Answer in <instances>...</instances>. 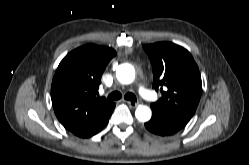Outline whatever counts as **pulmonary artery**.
<instances>
[{
    "label": "pulmonary artery",
    "mask_w": 249,
    "mask_h": 165,
    "mask_svg": "<svg viewBox=\"0 0 249 165\" xmlns=\"http://www.w3.org/2000/svg\"><path fill=\"white\" fill-rule=\"evenodd\" d=\"M139 94L146 101H154L156 99L155 95L144 86L139 87Z\"/></svg>",
    "instance_id": "obj_1"
}]
</instances>
